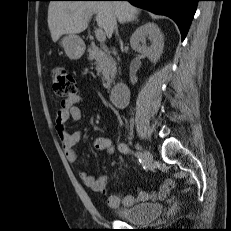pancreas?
<instances>
[{"label":"pancreas","instance_id":"obj_1","mask_svg":"<svg viewBox=\"0 0 231 231\" xmlns=\"http://www.w3.org/2000/svg\"><path fill=\"white\" fill-rule=\"evenodd\" d=\"M88 52V60H95L96 71L102 75L103 86L109 89L116 72V62L107 52L98 47L89 48Z\"/></svg>","mask_w":231,"mask_h":231}]
</instances>
